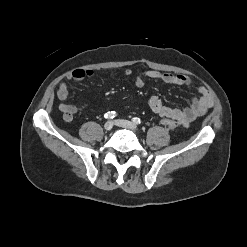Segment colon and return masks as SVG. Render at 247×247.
I'll return each mask as SVG.
<instances>
[{
    "instance_id": "5ec220e1",
    "label": "colon",
    "mask_w": 247,
    "mask_h": 247,
    "mask_svg": "<svg viewBox=\"0 0 247 247\" xmlns=\"http://www.w3.org/2000/svg\"><path fill=\"white\" fill-rule=\"evenodd\" d=\"M161 125L166 129H174L178 126V122L169 118L162 119L160 121Z\"/></svg>"
}]
</instances>
